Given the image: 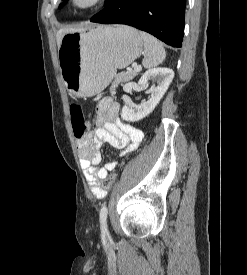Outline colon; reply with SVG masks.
I'll return each instance as SVG.
<instances>
[{
	"label": "colon",
	"instance_id": "obj_1",
	"mask_svg": "<svg viewBox=\"0 0 247 275\" xmlns=\"http://www.w3.org/2000/svg\"><path fill=\"white\" fill-rule=\"evenodd\" d=\"M71 124L73 134L76 139L80 140L87 131V122L80 105L74 103L70 107ZM116 179V173H112L103 183V189L109 190Z\"/></svg>",
	"mask_w": 247,
	"mask_h": 275
}]
</instances>
